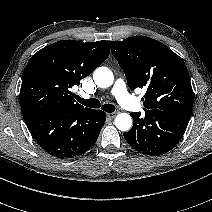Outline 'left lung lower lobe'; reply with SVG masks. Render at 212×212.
I'll use <instances>...</instances> for the list:
<instances>
[{"label":"left lung lower lobe","mask_w":212,"mask_h":212,"mask_svg":"<svg viewBox=\"0 0 212 212\" xmlns=\"http://www.w3.org/2000/svg\"><path fill=\"white\" fill-rule=\"evenodd\" d=\"M145 116L131 113L134 120L130 131L124 138L132 148L140 153L158 156L173 149L182 138L190 114L164 111L160 109H144Z\"/></svg>","instance_id":"0a47b994"}]
</instances>
